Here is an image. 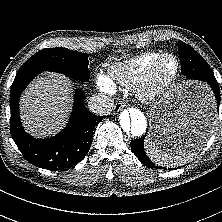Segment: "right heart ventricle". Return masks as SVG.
I'll list each match as a JSON object with an SVG mask.
<instances>
[{
    "label": "right heart ventricle",
    "mask_w": 222,
    "mask_h": 222,
    "mask_svg": "<svg viewBox=\"0 0 222 222\" xmlns=\"http://www.w3.org/2000/svg\"><path fill=\"white\" fill-rule=\"evenodd\" d=\"M161 54L153 51L146 52L111 66L107 74L109 84L115 87L117 84L132 85L138 83L144 77L150 64Z\"/></svg>",
    "instance_id": "1"
}]
</instances>
